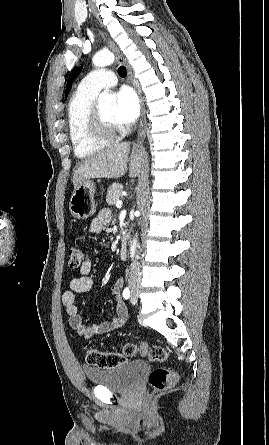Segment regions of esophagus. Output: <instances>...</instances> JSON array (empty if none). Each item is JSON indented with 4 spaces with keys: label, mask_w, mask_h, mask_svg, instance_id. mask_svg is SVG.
Instances as JSON below:
<instances>
[{
    "label": "esophagus",
    "mask_w": 269,
    "mask_h": 445,
    "mask_svg": "<svg viewBox=\"0 0 269 445\" xmlns=\"http://www.w3.org/2000/svg\"><path fill=\"white\" fill-rule=\"evenodd\" d=\"M108 45L112 49V51L115 53L117 61L126 67L128 80L133 85V87L136 89V91L138 93V96L140 99V104H141V119H140V126H139V130H138L137 141H138V143H141L145 139L146 125H147L144 100H143V97L141 94V90H140L139 86L134 82L132 69H131L130 65L128 64L126 58L123 56V54L119 50V48L110 39H108Z\"/></svg>",
    "instance_id": "esophagus-1"
}]
</instances>
